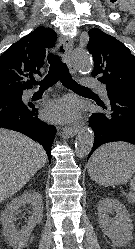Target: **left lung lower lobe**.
Returning <instances> with one entry per match:
<instances>
[{
    "label": "left lung lower lobe",
    "mask_w": 135,
    "mask_h": 249,
    "mask_svg": "<svg viewBox=\"0 0 135 249\" xmlns=\"http://www.w3.org/2000/svg\"><path fill=\"white\" fill-rule=\"evenodd\" d=\"M93 99L99 110L92 113L89 119L95 139L88 159L99 146L108 142L135 144V98L108 94L106 104L99 98Z\"/></svg>",
    "instance_id": "0a47b994"
}]
</instances>
